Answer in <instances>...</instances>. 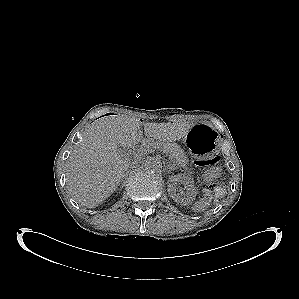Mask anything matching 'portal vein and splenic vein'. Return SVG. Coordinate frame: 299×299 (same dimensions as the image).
I'll list each match as a JSON object with an SVG mask.
<instances>
[{"label": "portal vein and splenic vein", "instance_id": "18ae733b", "mask_svg": "<svg viewBox=\"0 0 299 299\" xmlns=\"http://www.w3.org/2000/svg\"><path fill=\"white\" fill-rule=\"evenodd\" d=\"M141 150H143V148H142V149H140V150H138V152H140Z\"/></svg>", "mask_w": 299, "mask_h": 299}]
</instances>
